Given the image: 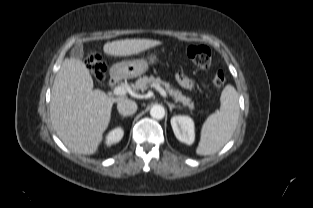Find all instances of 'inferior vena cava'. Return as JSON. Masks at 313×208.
Instances as JSON below:
<instances>
[{
  "label": "inferior vena cava",
  "mask_w": 313,
  "mask_h": 208,
  "mask_svg": "<svg viewBox=\"0 0 313 208\" xmlns=\"http://www.w3.org/2000/svg\"><path fill=\"white\" fill-rule=\"evenodd\" d=\"M117 109L120 114L129 116L136 112L137 104L129 99H123L117 102Z\"/></svg>",
  "instance_id": "obj_1"
}]
</instances>
